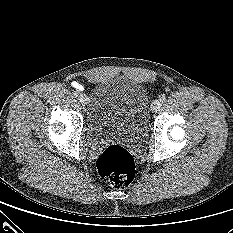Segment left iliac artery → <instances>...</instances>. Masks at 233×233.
I'll return each instance as SVG.
<instances>
[{"label":"left iliac artery","instance_id":"1","mask_svg":"<svg viewBox=\"0 0 233 233\" xmlns=\"http://www.w3.org/2000/svg\"><path fill=\"white\" fill-rule=\"evenodd\" d=\"M159 100L161 103H164L166 101V96L164 94L160 95Z\"/></svg>","mask_w":233,"mask_h":233}]
</instances>
